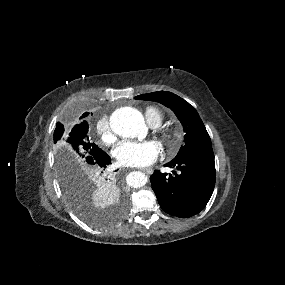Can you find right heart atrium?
Masks as SVG:
<instances>
[{
  "mask_svg": "<svg viewBox=\"0 0 285 285\" xmlns=\"http://www.w3.org/2000/svg\"><path fill=\"white\" fill-rule=\"evenodd\" d=\"M96 132L103 144H111L115 140V134L112 130L110 119L107 115L100 117L96 123Z\"/></svg>",
  "mask_w": 285,
  "mask_h": 285,
  "instance_id": "obj_1",
  "label": "right heart atrium"
}]
</instances>
